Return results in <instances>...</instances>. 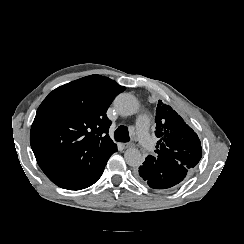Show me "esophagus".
I'll return each mask as SVG.
<instances>
[{
  "mask_svg": "<svg viewBox=\"0 0 244 244\" xmlns=\"http://www.w3.org/2000/svg\"><path fill=\"white\" fill-rule=\"evenodd\" d=\"M133 145H134L133 143H124V144H123V148H124V149H127V148L132 147Z\"/></svg>",
  "mask_w": 244,
  "mask_h": 244,
  "instance_id": "34e87169",
  "label": "esophagus"
}]
</instances>
